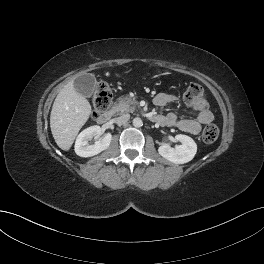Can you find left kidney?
<instances>
[{
    "mask_svg": "<svg viewBox=\"0 0 264 264\" xmlns=\"http://www.w3.org/2000/svg\"><path fill=\"white\" fill-rule=\"evenodd\" d=\"M175 139L181 142V144L177 145L175 148L171 147L169 144H162L158 148L159 154L175 164H184L191 161L197 152V145L194 140L182 134L176 135Z\"/></svg>",
    "mask_w": 264,
    "mask_h": 264,
    "instance_id": "1",
    "label": "left kidney"
}]
</instances>
